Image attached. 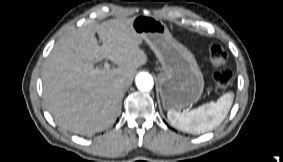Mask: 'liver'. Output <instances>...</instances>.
Segmentation results:
<instances>
[{
    "mask_svg": "<svg viewBox=\"0 0 283 162\" xmlns=\"http://www.w3.org/2000/svg\"><path fill=\"white\" fill-rule=\"evenodd\" d=\"M132 19H111L77 28L54 45L42 68L43 97L62 129L87 135L110 127L118 117L124 79L133 81L148 57L130 29ZM98 34L102 46L98 45ZM103 58L118 65L99 69Z\"/></svg>",
    "mask_w": 283,
    "mask_h": 162,
    "instance_id": "obj_1",
    "label": "liver"
}]
</instances>
